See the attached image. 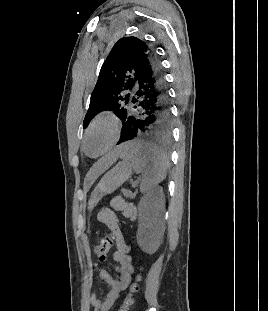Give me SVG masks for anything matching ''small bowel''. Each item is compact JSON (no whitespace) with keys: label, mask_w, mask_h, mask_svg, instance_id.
I'll return each mask as SVG.
<instances>
[{"label":"small bowel","mask_w":268,"mask_h":311,"mask_svg":"<svg viewBox=\"0 0 268 311\" xmlns=\"http://www.w3.org/2000/svg\"><path fill=\"white\" fill-rule=\"evenodd\" d=\"M98 220L105 224L111 231L116 245V251L113 254V259L116 263L115 271L120 277L119 279H114L106 270H101L99 277L108 285L109 290L102 299H98L96 293L91 291L89 304L93 307L94 311H110L121 292L128 287L131 281L133 264L132 258L129 255V246L124 240L115 214L110 210H103L98 214Z\"/></svg>","instance_id":"small-bowel-1"}]
</instances>
